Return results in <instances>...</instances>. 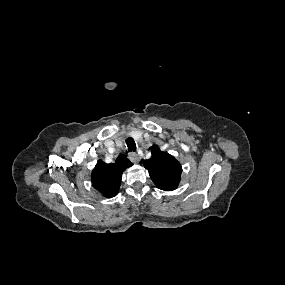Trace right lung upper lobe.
Returning a JSON list of instances; mask_svg holds the SVG:
<instances>
[{"mask_svg":"<svg viewBox=\"0 0 285 285\" xmlns=\"http://www.w3.org/2000/svg\"><path fill=\"white\" fill-rule=\"evenodd\" d=\"M130 166L132 163L123 154H120L115 163L107 164L99 160L91 175L93 187L105 197L116 196L120 188L122 173Z\"/></svg>","mask_w":285,"mask_h":285,"instance_id":"1","label":"right lung upper lobe"}]
</instances>
